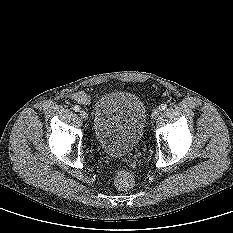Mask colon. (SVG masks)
<instances>
[{"label": "colon", "instance_id": "1", "mask_svg": "<svg viewBox=\"0 0 233 233\" xmlns=\"http://www.w3.org/2000/svg\"><path fill=\"white\" fill-rule=\"evenodd\" d=\"M114 183L118 189L127 190L133 186L134 178L130 172L120 170L115 175Z\"/></svg>", "mask_w": 233, "mask_h": 233}]
</instances>
